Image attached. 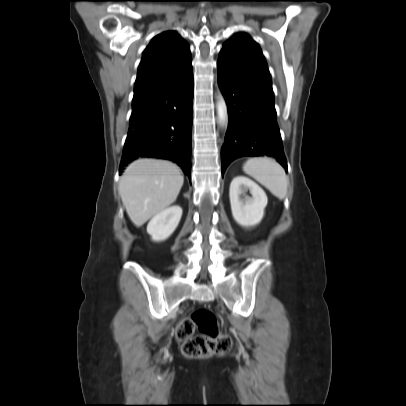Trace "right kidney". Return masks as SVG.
Wrapping results in <instances>:
<instances>
[{"instance_id": "ca27d5eb", "label": "right kidney", "mask_w": 406, "mask_h": 406, "mask_svg": "<svg viewBox=\"0 0 406 406\" xmlns=\"http://www.w3.org/2000/svg\"><path fill=\"white\" fill-rule=\"evenodd\" d=\"M182 216L180 206H171L156 214L147 225V233L153 241L160 242L169 238L177 228Z\"/></svg>"}]
</instances>
